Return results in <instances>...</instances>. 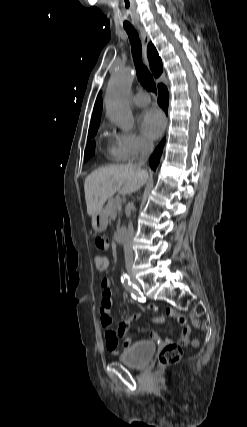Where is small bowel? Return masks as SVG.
<instances>
[{
    "instance_id": "c3829d8e",
    "label": "small bowel",
    "mask_w": 247,
    "mask_h": 427,
    "mask_svg": "<svg viewBox=\"0 0 247 427\" xmlns=\"http://www.w3.org/2000/svg\"><path fill=\"white\" fill-rule=\"evenodd\" d=\"M95 243H96L97 249L106 250L109 247L110 242L108 239L104 237H98ZM101 286H102V300L99 308L100 322L102 327L105 329V340H106L107 349L111 352L116 353L120 349V346H119L120 339H123L126 344H129L131 342V338L127 337L126 335L128 326L130 324V321L133 318L139 317L141 314H136V315L127 317L126 319L120 322L117 330H114L112 312H111V309L113 306L111 281L107 278L103 279L101 282ZM165 313L168 318L174 320L176 323H178L181 326V331L178 338L179 343H182V344L187 343L190 337L191 328L188 325L186 318L172 308H167ZM152 320L158 323L165 322V319L162 317H153ZM149 338L153 341L161 340L159 334L154 331L150 332ZM163 343L165 344L172 343V339L170 337H166L163 340Z\"/></svg>"
}]
</instances>
